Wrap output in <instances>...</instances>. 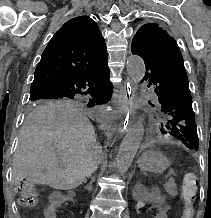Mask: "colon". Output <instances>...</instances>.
<instances>
[{
    "label": "colon",
    "mask_w": 211,
    "mask_h": 218,
    "mask_svg": "<svg viewBox=\"0 0 211 218\" xmlns=\"http://www.w3.org/2000/svg\"><path fill=\"white\" fill-rule=\"evenodd\" d=\"M17 187L21 193L19 203L25 208H33L38 204L39 197L32 183L24 176L17 180ZM198 188L197 178L193 173H187L184 177L181 196L184 201V213L182 218H192L193 201Z\"/></svg>",
    "instance_id": "1"
}]
</instances>
